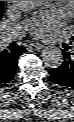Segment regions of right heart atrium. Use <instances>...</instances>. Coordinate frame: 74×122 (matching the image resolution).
<instances>
[{
	"mask_svg": "<svg viewBox=\"0 0 74 122\" xmlns=\"http://www.w3.org/2000/svg\"><path fill=\"white\" fill-rule=\"evenodd\" d=\"M7 3H13L14 1H6Z\"/></svg>",
	"mask_w": 74,
	"mask_h": 122,
	"instance_id": "1",
	"label": "right heart atrium"
}]
</instances>
